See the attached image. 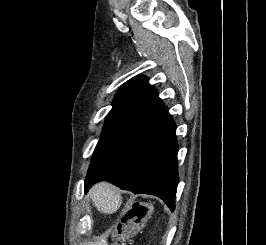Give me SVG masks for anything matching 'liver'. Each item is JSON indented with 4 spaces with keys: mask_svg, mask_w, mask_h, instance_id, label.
Returning a JSON list of instances; mask_svg holds the SVG:
<instances>
[{
    "mask_svg": "<svg viewBox=\"0 0 266 245\" xmlns=\"http://www.w3.org/2000/svg\"><path fill=\"white\" fill-rule=\"evenodd\" d=\"M89 197L93 201L97 211L105 215H113L122 205V197L117 189L109 183H98L89 191Z\"/></svg>",
    "mask_w": 266,
    "mask_h": 245,
    "instance_id": "1",
    "label": "liver"
}]
</instances>
